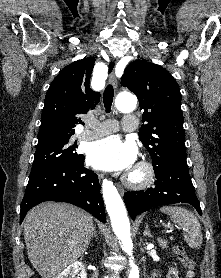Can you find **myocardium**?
Returning a JSON list of instances; mask_svg holds the SVG:
<instances>
[{
    "label": "myocardium",
    "mask_w": 221,
    "mask_h": 278,
    "mask_svg": "<svg viewBox=\"0 0 221 278\" xmlns=\"http://www.w3.org/2000/svg\"><path fill=\"white\" fill-rule=\"evenodd\" d=\"M154 177L155 171L152 164L148 161H140L124 177V182L130 188L143 189L153 182Z\"/></svg>",
    "instance_id": "obj_1"
}]
</instances>
